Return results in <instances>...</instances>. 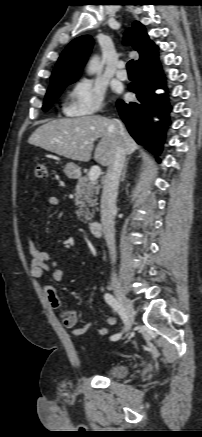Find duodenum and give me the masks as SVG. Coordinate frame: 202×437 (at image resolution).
<instances>
[{
  "instance_id": "410a0bca",
  "label": "duodenum",
  "mask_w": 202,
  "mask_h": 437,
  "mask_svg": "<svg viewBox=\"0 0 202 437\" xmlns=\"http://www.w3.org/2000/svg\"><path fill=\"white\" fill-rule=\"evenodd\" d=\"M89 231L93 237H100L102 234V224L99 221L89 223Z\"/></svg>"
}]
</instances>
